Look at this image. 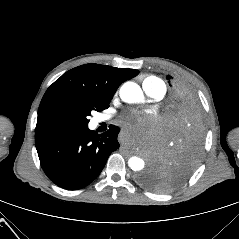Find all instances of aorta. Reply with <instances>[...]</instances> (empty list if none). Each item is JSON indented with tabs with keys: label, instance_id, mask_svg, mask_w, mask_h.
Wrapping results in <instances>:
<instances>
[{
	"label": "aorta",
	"instance_id": "obj_1",
	"mask_svg": "<svg viewBox=\"0 0 239 239\" xmlns=\"http://www.w3.org/2000/svg\"><path fill=\"white\" fill-rule=\"evenodd\" d=\"M120 97L127 103H138L144 98L140 86L134 82H126L120 89ZM128 165L133 171H140L144 168L145 162L142 158L133 156L128 160Z\"/></svg>",
	"mask_w": 239,
	"mask_h": 239
}]
</instances>
